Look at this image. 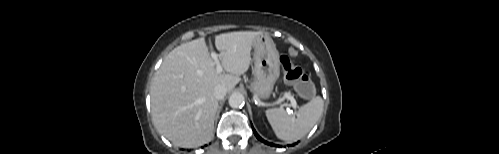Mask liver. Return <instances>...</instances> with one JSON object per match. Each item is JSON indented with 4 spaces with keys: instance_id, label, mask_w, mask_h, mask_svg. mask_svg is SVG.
Segmentation results:
<instances>
[{
    "instance_id": "obj_1",
    "label": "liver",
    "mask_w": 499,
    "mask_h": 154,
    "mask_svg": "<svg viewBox=\"0 0 499 154\" xmlns=\"http://www.w3.org/2000/svg\"><path fill=\"white\" fill-rule=\"evenodd\" d=\"M263 32L238 31L216 35L222 67L217 73L204 38L173 49L156 72L151 86L152 120L174 145L201 146L213 138L218 101L215 86L232 90L249 69L253 40Z\"/></svg>"
}]
</instances>
